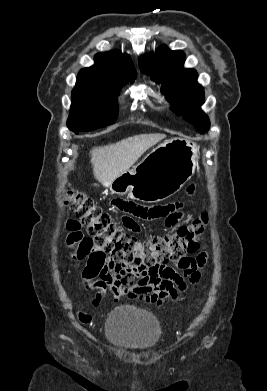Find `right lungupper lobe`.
I'll list each match as a JSON object with an SVG mask.
<instances>
[{
	"mask_svg": "<svg viewBox=\"0 0 267 391\" xmlns=\"http://www.w3.org/2000/svg\"><path fill=\"white\" fill-rule=\"evenodd\" d=\"M96 65L81 69L77 83L90 86L106 93H118L121 86L136 77V70L131 58L118 51L98 53Z\"/></svg>",
	"mask_w": 267,
	"mask_h": 391,
	"instance_id": "cb5924a9",
	"label": "right lung upper lobe"
}]
</instances>
